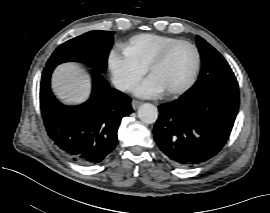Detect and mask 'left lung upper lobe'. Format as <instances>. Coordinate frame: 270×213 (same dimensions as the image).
<instances>
[{
	"mask_svg": "<svg viewBox=\"0 0 270 213\" xmlns=\"http://www.w3.org/2000/svg\"><path fill=\"white\" fill-rule=\"evenodd\" d=\"M196 43L201 55L202 69L197 82L186 92L187 96L194 95L226 78L234 77L227 61L214 47L200 36H196Z\"/></svg>",
	"mask_w": 270,
	"mask_h": 213,
	"instance_id": "1",
	"label": "left lung upper lobe"
}]
</instances>
